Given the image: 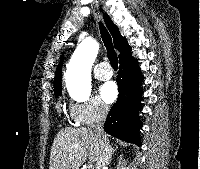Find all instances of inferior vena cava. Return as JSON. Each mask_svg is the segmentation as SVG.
I'll return each instance as SVG.
<instances>
[{"label":"inferior vena cava","mask_w":200,"mask_h":169,"mask_svg":"<svg viewBox=\"0 0 200 169\" xmlns=\"http://www.w3.org/2000/svg\"><path fill=\"white\" fill-rule=\"evenodd\" d=\"M107 114L108 107L104 104H100L97 108L95 123L90 127L100 138L101 156L97 161L96 169H104L105 166L110 163L112 157V149L103 129Z\"/></svg>","instance_id":"1"}]
</instances>
